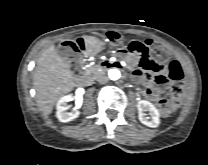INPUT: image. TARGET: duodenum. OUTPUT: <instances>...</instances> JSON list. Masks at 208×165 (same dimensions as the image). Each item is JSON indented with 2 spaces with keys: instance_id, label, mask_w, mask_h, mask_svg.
Listing matches in <instances>:
<instances>
[{
  "instance_id": "410a0bca",
  "label": "duodenum",
  "mask_w": 208,
  "mask_h": 165,
  "mask_svg": "<svg viewBox=\"0 0 208 165\" xmlns=\"http://www.w3.org/2000/svg\"><path fill=\"white\" fill-rule=\"evenodd\" d=\"M108 67L109 64L107 63H104L102 65V69H107ZM78 80L81 85L85 86V85H89L92 82V77L88 75H84V76H80Z\"/></svg>"
}]
</instances>
